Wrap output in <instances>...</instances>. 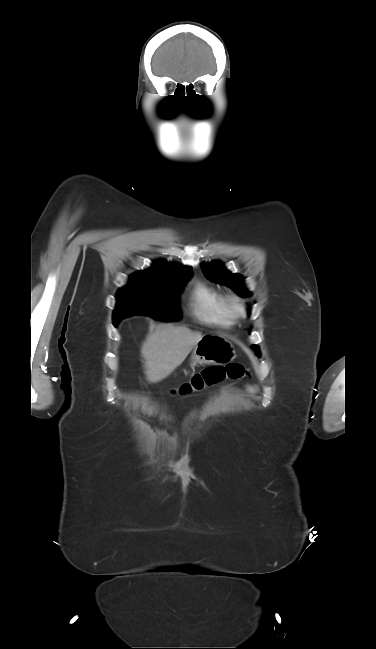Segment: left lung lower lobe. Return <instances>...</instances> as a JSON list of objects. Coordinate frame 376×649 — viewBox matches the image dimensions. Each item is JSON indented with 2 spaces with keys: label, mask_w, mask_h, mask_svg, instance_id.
Wrapping results in <instances>:
<instances>
[{
  "label": "left lung lower lobe",
  "mask_w": 376,
  "mask_h": 649,
  "mask_svg": "<svg viewBox=\"0 0 376 649\" xmlns=\"http://www.w3.org/2000/svg\"><path fill=\"white\" fill-rule=\"evenodd\" d=\"M253 349L256 350L258 354L260 353V351H259V349H258L257 346L254 345V346H253Z\"/></svg>",
  "instance_id": "0a47b994"
}]
</instances>
